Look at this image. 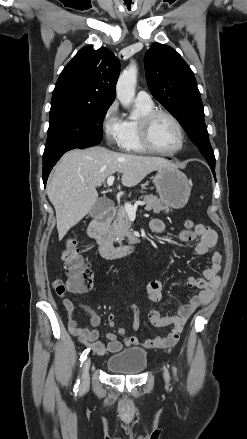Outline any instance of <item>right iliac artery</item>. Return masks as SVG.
<instances>
[{
    "instance_id": "right-iliac-artery-1",
    "label": "right iliac artery",
    "mask_w": 247,
    "mask_h": 439,
    "mask_svg": "<svg viewBox=\"0 0 247 439\" xmlns=\"http://www.w3.org/2000/svg\"><path fill=\"white\" fill-rule=\"evenodd\" d=\"M90 352V348H87V349H85L83 352H82V354H81V356H80V363H81V366H82V363H83V361L87 358V355H88V353ZM79 384H80V380L79 379H77V381H76V383H75V386H74V391L75 392H77L78 390H79Z\"/></svg>"
}]
</instances>
